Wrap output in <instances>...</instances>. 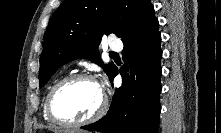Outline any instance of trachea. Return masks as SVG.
Masks as SVG:
<instances>
[{"instance_id":"1","label":"trachea","mask_w":221,"mask_h":133,"mask_svg":"<svg viewBox=\"0 0 221 133\" xmlns=\"http://www.w3.org/2000/svg\"><path fill=\"white\" fill-rule=\"evenodd\" d=\"M110 56L111 57H117V56H119L117 53H115V52H112V53H110Z\"/></svg>"}]
</instances>
